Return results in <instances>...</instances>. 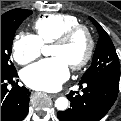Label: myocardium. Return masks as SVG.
Masks as SVG:
<instances>
[{"label": "myocardium", "instance_id": "f54148a6", "mask_svg": "<svg viewBox=\"0 0 121 121\" xmlns=\"http://www.w3.org/2000/svg\"><path fill=\"white\" fill-rule=\"evenodd\" d=\"M84 33L87 39V48L84 57L77 63L70 65L71 69L78 71L85 67L91 60L95 48V40L92 31L84 24L73 26L60 35L53 43L54 45H66L77 34Z\"/></svg>", "mask_w": 121, "mask_h": 121}]
</instances>
